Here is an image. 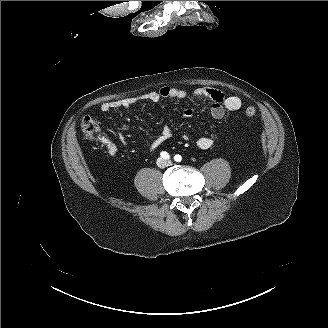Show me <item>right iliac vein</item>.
I'll return each instance as SVG.
<instances>
[{
  "instance_id": "obj_1",
  "label": "right iliac vein",
  "mask_w": 328,
  "mask_h": 328,
  "mask_svg": "<svg viewBox=\"0 0 328 328\" xmlns=\"http://www.w3.org/2000/svg\"><path fill=\"white\" fill-rule=\"evenodd\" d=\"M159 163H160V164H163V166L165 165V163H164V160H163V159H160V160H159Z\"/></svg>"
}]
</instances>
